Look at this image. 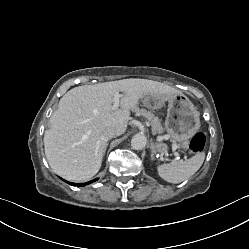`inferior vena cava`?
I'll return each mask as SVG.
<instances>
[{
  "label": "inferior vena cava",
  "mask_w": 249,
  "mask_h": 249,
  "mask_svg": "<svg viewBox=\"0 0 249 249\" xmlns=\"http://www.w3.org/2000/svg\"><path fill=\"white\" fill-rule=\"evenodd\" d=\"M117 135H119V133L115 128L106 127L101 133V139L107 141L109 139L114 138Z\"/></svg>",
  "instance_id": "obj_1"
}]
</instances>
